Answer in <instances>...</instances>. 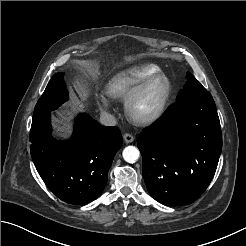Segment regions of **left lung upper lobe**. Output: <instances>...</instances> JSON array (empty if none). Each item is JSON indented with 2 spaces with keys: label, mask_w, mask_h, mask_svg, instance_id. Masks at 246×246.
I'll return each instance as SVG.
<instances>
[{
  "label": "left lung upper lobe",
  "mask_w": 246,
  "mask_h": 246,
  "mask_svg": "<svg viewBox=\"0 0 246 246\" xmlns=\"http://www.w3.org/2000/svg\"><path fill=\"white\" fill-rule=\"evenodd\" d=\"M187 83L184 86V90H181L179 92V95L177 97V101L189 96V95H195V94H201L207 92V90L202 86V84L196 80V78L192 74H187Z\"/></svg>",
  "instance_id": "left-lung-upper-lobe-1"
}]
</instances>
